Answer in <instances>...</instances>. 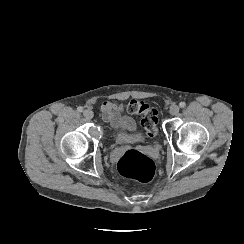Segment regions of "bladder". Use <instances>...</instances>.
I'll list each match as a JSON object with an SVG mask.
<instances>
[{
    "mask_svg": "<svg viewBox=\"0 0 244 244\" xmlns=\"http://www.w3.org/2000/svg\"><path fill=\"white\" fill-rule=\"evenodd\" d=\"M113 137H114V143L118 145L133 144V143L136 144L145 138V133L142 129L138 130L137 134L135 133L125 134V133L115 132L113 134Z\"/></svg>",
    "mask_w": 244,
    "mask_h": 244,
    "instance_id": "obj_1",
    "label": "bladder"
}]
</instances>
